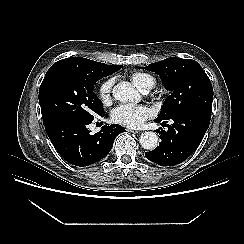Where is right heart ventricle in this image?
Instances as JSON below:
<instances>
[{
    "mask_svg": "<svg viewBox=\"0 0 244 244\" xmlns=\"http://www.w3.org/2000/svg\"><path fill=\"white\" fill-rule=\"evenodd\" d=\"M130 80L140 91L146 88L149 84L154 82L151 75L144 72H133L130 74Z\"/></svg>",
    "mask_w": 244,
    "mask_h": 244,
    "instance_id": "1",
    "label": "right heart ventricle"
}]
</instances>
